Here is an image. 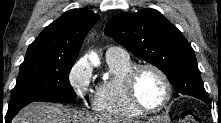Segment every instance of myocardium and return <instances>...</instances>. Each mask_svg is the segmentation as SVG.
<instances>
[{
	"instance_id": "1",
	"label": "myocardium",
	"mask_w": 221,
	"mask_h": 123,
	"mask_svg": "<svg viewBox=\"0 0 221 123\" xmlns=\"http://www.w3.org/2000/svg\"><path fill=\"white\" fill-rule=\"evenodd\" d=\"M152 70L155 73L158 74V76L161 78V80L164 83L165 86V98L163 102L155 107V108H148L144 106L136 93V80L139 75V73L143 70ZM123 86H124V91L126 94V97L130 104L137 109L138 111L142 113H157L163 110L170 102L171 97H172V87L170 80L168 76L165 74V72L159 68L158 66L151 64V63H144V64H139L133 66V68L125 75L124 81H123Z\"/></svg>"
}]
</instances>
